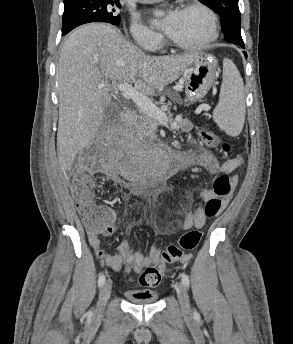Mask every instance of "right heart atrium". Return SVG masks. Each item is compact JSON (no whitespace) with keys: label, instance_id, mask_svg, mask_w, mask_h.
<instances>
[{"label":"right heart atrium","instance_id":"right-heart-atrium-1","mask_svg":"<svg viewBox=\"0 0 293 344\" xmlns=\"http://www.w3.org/2000/svg\"><path fill=\"white\" fill-rule=\"evenodd\" d=\"M129 34L136 46L143 50L153 51L162 44V37L137 19L132 20Z\"/></svg>","mask_w":293,"mask_h":344}]
</instances>
